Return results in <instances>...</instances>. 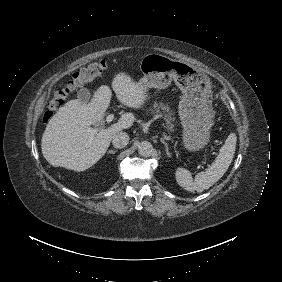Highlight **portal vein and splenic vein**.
<instances>
[{
  "label": "portal vein and splenic vein",
  "instance_id": "18ae733b",
  "mask_svg": "<svg viewBox=\"0 0 282 282\" xmlns=\"http://www.w3.org/2000/svg\"><path fill=\"white\" fill-rule=\"evenodd\" d=\"M113 116L112 115H108L105 119L106 124L104 125H100L96 128L93 129L94 133H98L103 131L104 129H106L107 127L111 126V122H112Z\"/></svg>",
  "mask_w": 282,
  "mask_h": 282
}]
</instances>
